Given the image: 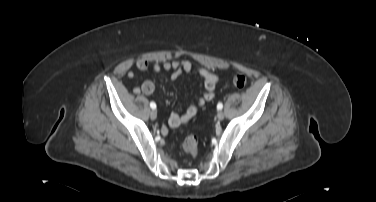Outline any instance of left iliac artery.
<instances>
[{
	"label": "left iliac artery",
	"instance_id": "44dca946",
	"mask_svg": "<svg viewBox=\"0 0 376 202\" xmlns=\"http://www.w3.org/2000/svg\"><path fill=\"white\" fill-rule=\"evenodd\" d=\"M222 108H223V104H222V103H218V104H217V109H218V110H221Z\"/></svg>",
	"mask_w": 376,
	"mask_h": 202
}]
</instances>
